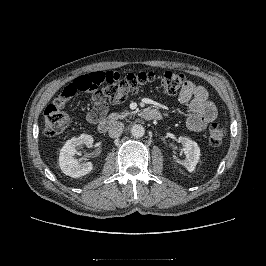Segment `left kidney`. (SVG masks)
<instances>
[{
	"label": "left kidney",
	"instance_id": "left-kidney-1",
	"mask_svg": "<svg viewBox=\"0 0 266 266\" xmlns=\"http://www.w3.org/2000/svg\"><path fill=\"white\" fill-rule=\"evenodd\" d=\"M179 141L184 147V153L186 158L184 161H181L182 164L189 172H193L195 167L200 159V147L198 144L189 139L188 137H179Z\"/></svg>",
	"mask_w": 266,
	"mask_h": 266
}]
</instances>
